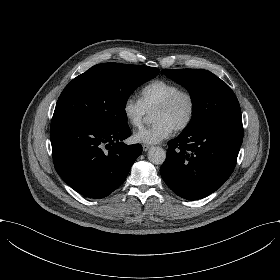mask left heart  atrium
Listing matches in <instances>:
<instances>
[{
    "label": "left heart atrium",
    "instance_id": "39dd6f15",
    "mask_svg": "<svg viewBox=\"0 0 280 280\" xmlns=\"http://www.w3.org/2000/svg\"><path fill=\"white\" fill-rule=\"evenodd\" d=\"M175 127L165 120H158L151 126L142 128L133 133V141L143 144H157L169 138Z\"/></svg>",
    "mask_w": 280,
    "mask_h": 280
}]
</instances>
